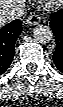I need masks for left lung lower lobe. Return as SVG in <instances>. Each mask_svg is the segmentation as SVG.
Returning <instances> with one entry per match:
<instances>
[{
	"label": "left lung lower lobe",
	"mask_w": 63,
	"mask_h": 107,
	"mask_svg": "<svg viewBox=\"0 0 63 107\" xmlns=\"http://www.w3.org/2000/svg\"><path fill=\"white\" fill-rule=\"evenodd\" d=\"M50 26L56 39V49L53 60L56 67L63 73V9L52 13Z\"/></svg>",
	"instance_id": "obj_1"
}]
</instances>
